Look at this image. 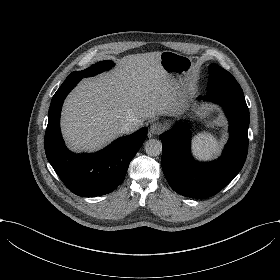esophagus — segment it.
<instances>
[{
    "label": "esophagus",
    "mask_w": 280,
    "mask_h": 280,
    "mask_svg": "<svg viewBox=\"0 0 280 280\" xmlns=\"http://www.w3.org/2000/svg\"><path fill=\"white\" fill-rule=\"evenodd\" d=\"M166 129V125L160 122H155L150 125V134L158 135Z\"/></svg>",
    "instance_id": "obj_1"
}]
</instances>
